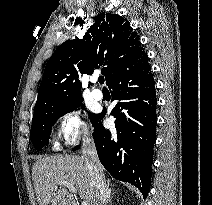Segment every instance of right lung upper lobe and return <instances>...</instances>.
Segmentation results:
<instances>
[{"instance_id":"right-lung-upper-lobe-1","label":"right lung upper lobe","mask_w":212,"mask_h":205,"mask_svg":"<svg viewBox=\"0 0 212 205\" xmlns=\"http://www.w3.org/2000/svg\"><path fill=\"white\" fill-rule=\"evenodd\" d=\"M139 39L127 19L101 13L82 40H67L55 50L45 66L34 110L82 100L79 73L92 74L103 67L108 84L120 68L145 53Z\"/></svg>"}]
</instances>
